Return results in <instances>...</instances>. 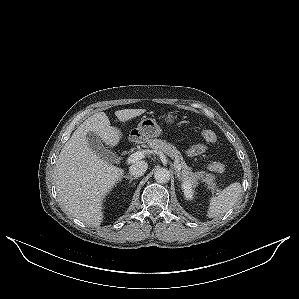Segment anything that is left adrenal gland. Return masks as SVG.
Returning a JSON list of instances; mask_svg holds the SVG:
<instances>
[{
  "instance_id": "1",
  "label": "left adrenal gland",
  "mask_w": 299,
  "mask_h": 299,
  "mask_svg": "<svg viewBox=\"0 0 299 299\" xmlns=\"http://www.w3.org/2000/svg\"><path fill=\"white\" fill-rule=\"evenodd\" d=\"M175 172H176L177 178H178L179 180H181V179H182L181 173L178 172L177 170H176Z\"/></svg>"
}]
</instances>
